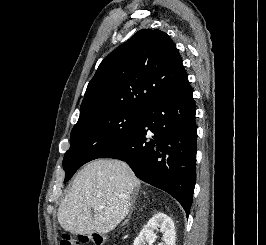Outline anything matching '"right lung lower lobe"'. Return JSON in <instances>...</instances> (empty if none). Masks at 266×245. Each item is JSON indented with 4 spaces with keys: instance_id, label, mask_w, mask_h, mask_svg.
Returning <instances> with one entry per match:
<instances>
[{
    "instance_id": "obj_1",
    "label": "right lung lower lobe",
    "mask_w": 266,
    "mask_h": 245,
    "mask_svg": "<svg viewBox=\"0 0 266 245\" xmlns=\"http://www.w3.org/2000/svg\"><path fill=\"white\" fill-rule=\"evenodd\" d=\"M195 111L187 80L149 106L134 132L100 158L127 162L139 179L172 195L188 216L196 182Z\"/></svg>"
}]
</instances>
